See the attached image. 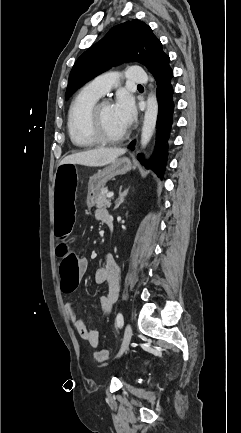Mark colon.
Masks as SVG:
<instances>
[{"mask_svg":"<svg viewBox=\"0 0 241 433\" xmlns=\"http://www.w3.org/2000/svg\"><path fill=\"white\" fill-rule=\"evenodd\" d=\"M75 162H65L59 164L56 168L55 180L52 182L54 190L53 201V220L56 221L55 228L59 238L64 239L70 235L73 225L74 216L77 215V208L74 207L77 182L75 177L78 174ZM60 256V277H64L62 290L72 292L77 287L80 265L77 256L68 250L65 242L59 245ZM110 358L106 350H99L95 353V359L100 362H106Z\"/></svg>","mask_w":241,"mask_h":433,"instance_id":"5ec220e1","label":"colon"}]
</instances>
